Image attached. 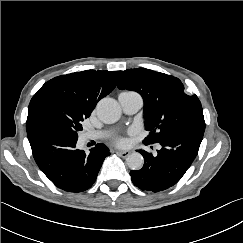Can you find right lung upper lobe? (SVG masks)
Masks as SVG:
<instances>
[{
  "instance_id": "obj_1",
  "label": "right lung upper lobe",
  "mask_w": 243,
  "mask_h": 243,
  "mask_svg": "<svg viewBox=\"0 0 243 243\" xmlns=\"http://www.w3.org/2000/svg\"><path fill=\"white\" fill-rule=\"evenodd\" d=\"M122 71L86 70L55 77L46 82L33 96L56 94L88 117L96 104L117 85ZM33 124L27 120L26 126Z\"/></svg>"
}]
</instances>
